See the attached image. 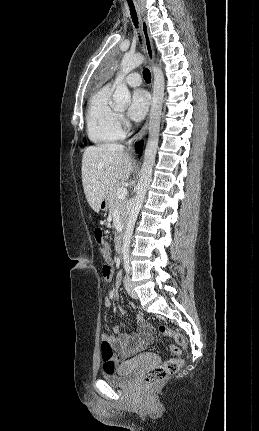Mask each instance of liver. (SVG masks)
Here are the masks:
<instances>
[{
    "label": "liver",
    "instance_id": "liver-1",
    "mask_svg": "<svg viewBox=\"0 0 259 431\" xmlns=\"http://www.w3.org/2000/svg\"><path fill=\"white\" fill-rule=\"evenodd\" d=\"M134 164L124 146L106 143L89 146L82 157V183L90 207L99 211L100 203L119 182L127 181Z\"/></svg>",
    "mask_w": 259,
    "mask_h": 431
}]
</instances>
